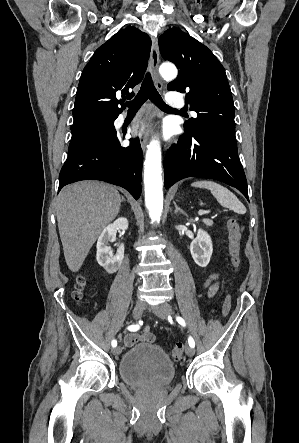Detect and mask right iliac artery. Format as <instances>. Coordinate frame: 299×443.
I'll list each match as a JSON object with an SVG mask.
<instances>
[{"label": "right iliac artery", "mask_w": 299, "mask_h": 443, "mask_svg": "<svg viewBox=\"0 0 299 443\" xmlns=\"http://www.w3.org/2000/svg\"><path fill=\"white\" fill-rule=\"evenodd\" d=\"M140 325H142V321H139L138 324H133V325L128 326V330L129 331H137V330H139ZM111 345H112V347H116L117 346V341L114 339L111 342Z\"/></svg>", "instance_id": "1"}]
</instances>
